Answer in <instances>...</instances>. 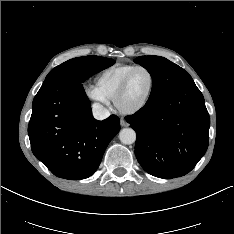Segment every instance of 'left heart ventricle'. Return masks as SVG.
Here are the masks:
<instances>
[{"instance_id": "b2bd125f", "label": "left heart ventricle", "mask_w": 234, "mask_h": 234, "mask_svg": "<svg viewBox=\"0 0 234 234\" xmlns=\"http://www.w3.org/2000/svg\"><path fill=\"white\" fill-rule=\"evenodd\" d=\"M150 87V75L145 70H137L129 81L121 105L124 108H132L143 101Z\"/></svg>"}]
</instances>
